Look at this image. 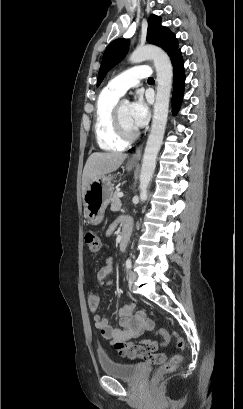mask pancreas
<instances>
[{
  "instance_id": "pancreas-1",
  "label": "pancreas",
  "mask_w": 243,
  "mask_h": 409,
  "mask_svg": "<svg viewBox=\"0 0 243 409\" xmlns=\"http://www.w3.org/2000/svg\"><path fill=\"white\" fill-rule=\"evenodd\" d=\"M118 191H115L112 195L111 199V211H119L121 208V201L120 198L118 197Z\"/></svg>"
}]
</instances>
